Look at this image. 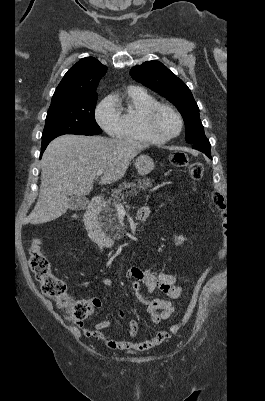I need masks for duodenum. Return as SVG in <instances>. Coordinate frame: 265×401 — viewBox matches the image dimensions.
I'll use <instances>...</instances> for the list:
<instances>
[{"label": "duodenum", "mask_w": 265, "mask_h": 401, "mask_svg": "<svg viewBox=\"0 0 265 401\" xmlns=\"http://www.w3.org/2000/svg\"><path fill=\"white\" fill-rule=\"evenodd\" d=\"M101 207V200L98 197H93L84 214V223L92 241L98 245L109 248L113 246V240L102 230L98 223V213L100 212ZM137 217L140 221L146 219L141 212H138Z\"/></svg>", "instance_id": "duodenum-1"}]
</instances>
